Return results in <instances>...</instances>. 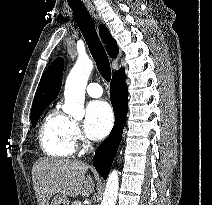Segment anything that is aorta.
I'll use <instances>...</instances> for the list:
<instances>
[{
	"label": "aorta",
	"mask_w": 212,
	"mask_h": 205,
	"mask_svg": "<svg viewBox=\"0 0 212 205\" xmlns=\"http://www.w3.org/2000/svg\"><path fill=\"white\" fill-rule=\"evenodd\" d=\"M93 69L88 57H79L71 69L65 84L64 112L75 118H81L84 112L85 88ZM119 189L118 171L110 172L101 205H116Z\"/></svg>",
	"instance_id": "1"
}]
</instances>
